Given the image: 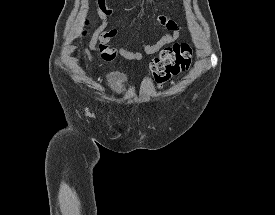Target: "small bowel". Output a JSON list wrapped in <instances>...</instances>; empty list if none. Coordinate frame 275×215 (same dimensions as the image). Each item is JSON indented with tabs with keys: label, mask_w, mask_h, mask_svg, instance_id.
Here are the masks:
<instances>
[{
	"label": "small bowel",
	"mask_w": 275,
	"mask_h": 215,
	"mask_svg": "<svg viewBox=\"0 0 275 215\" xmlns=\"http://www.w3.org/2000/svg\"><path fill=\"white\" fill-rule=\"evenodd\" d=\"M96 12L101 19V24L94 31L86 48V54L89 60L92 59L91 52H97L101 55L102 59L107 62L113 61L117 55H121L126 60L139 61L143 59V53L153 54L159 51L163 46L176 42L181 31V27L176 22L164 16H159L157 22L169 29L170 32L163 34L157 42L149 44L141 38L139 40L141 50L130 49L127 47L113 48L110 44L117 36L118 32L117 30H104L107 25V20L113 15L114 10L108 7L105 0H99V3L96 6ZM140 26L141 23L138 24L136 30H138Z\"/></svg>",
	"instance_id": "c3829d8e"
}]
</instances>
